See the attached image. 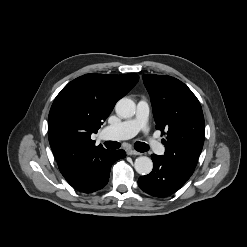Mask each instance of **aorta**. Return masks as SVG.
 <instances>
[{
  "instance_id": "obj_1",
  "label": "aorta",
  "mask_w": 247,
  "mask_h": 247,
  "mask_svg": "<svg viewBox=\"0 0 247 247\" xmlns=\"http://www.w3.org/2000/svg\"><path fill=\"white\" fill-rule=\"evenodd\" d=\"M115 111L121 118H131L136 112V105L131 99L122 98L116 103ZM134 168L137 173L147 175L153 169V162L149 157L140 156L136 158Z\"/></svg>"
}]
</instances>
